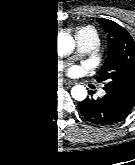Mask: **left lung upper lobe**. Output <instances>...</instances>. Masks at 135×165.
Listing matches in <instances>:
<instances>
[{
  "mask_svg": "<svg viewBox=\"0 0 135 165\" xmlns=\"http://www.w3.org/2000/svg\"><path fill=\"white\" fill-rule=\"evenodd\" d=\"M107 35V60L99 71L104 89L135 105V41L119 24L97 18Z\"/></svg>",
  "mask_w": 135,
  "mask_h": 165,
  "instance_id": "1",
  "label": "left lung upper lobe"
}]
</instances>
